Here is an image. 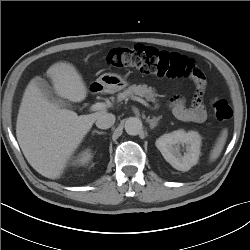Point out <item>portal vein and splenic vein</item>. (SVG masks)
I'll return each mask as SVG.
<instances>
[{
	"label": "portal vein and splenic vein",
	"mask_w": 250,
	"mask_h": 250,
	"mask_svg": "<svg viewBox=\"0 0 250 250\" xmlns=\"http://www.w3.org/2000/svg\"><path fill=\"white\" fill-rule=\"evenodd\" d=\"M131 99L140 102L141 104H143L144 106L151 108V106L149 105V103H147L144 99L140 98V97H136V96H132ZM110 107L109 103H104V102H97L95 104H93L90 107V110L92 111H97V110H102V109H106Z\"/></svg>",
	"instance_id": "1"
}]
</instances>
